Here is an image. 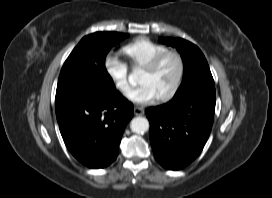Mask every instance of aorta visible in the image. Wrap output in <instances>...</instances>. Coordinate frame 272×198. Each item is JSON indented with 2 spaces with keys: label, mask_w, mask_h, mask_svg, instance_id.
Segmentation results:
<instances>
[{
  "label": "aorta",
  "mask_w": 272,
  "mask_h": 198,
  "mask_svg": "<svg viewBox=\"0 0 272 198\" xmlns=\"http://www.w3.org/2000/svg\"><path fill=\"white\" fill-rule=\"evenodd\" d=\"M136 77H137L136 72H133L129 76V81L133 82V80H135ZM130 128H131L132 132H134V133L143 134V133L147 132L149 129V121L144 117L133 118L130 123Z\"/></svg>",
  "instance_id": "aorta-1"
}]
</instances>
